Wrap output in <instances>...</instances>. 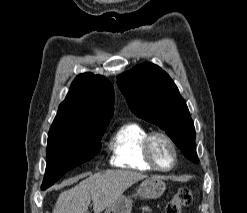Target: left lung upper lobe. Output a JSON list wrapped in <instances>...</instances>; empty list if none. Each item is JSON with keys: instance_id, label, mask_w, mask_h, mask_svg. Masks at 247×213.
I'll list each match as a JSON object with an SVG mask.
<instances>
[{"instance_id": "obj_1", "label": "left lung upper lobe", "mask_w": 247, "mask_h": 213, "mask_svg": "<svg viewBox=\"0 0 247 213\" xmlns=\"http://www.w3.org/2000/svg\"><path fill=\"white\" fill-rule=\"evenodd\" d=\"M117 83L135 115L160 126L187 159L199 162L188 107L165 71L143 63L119 75Z\"/></svg>"}]
</instances>
